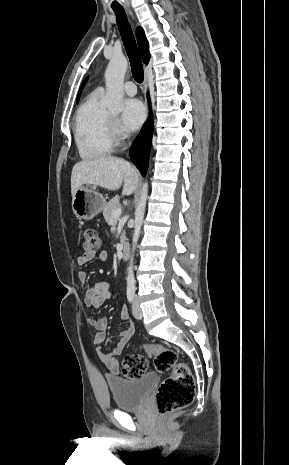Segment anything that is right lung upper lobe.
<instances>
[{"label": "right lung upper lobe", "instance_id": "1", "mask_svg": "<svg viewBox=\"0 0 289 465\" xmlns=\"http://www.w3.org/2000/svg\"><path fill=\"white\" fill-rule=\"evenodd\" d=\"M137 40H138V46H139V49H140L142 60H143L144 63L148 64L149 59H150V53H149V49H148V41H147V39L145 37L144 31L140 27L137 29ZM86 81H87V78L85 79V81L82 83V85L80 87L79 94H78V99L80 97L81 91H82Z\"/></svg>", "mask_w": 289, "mask_h": 465}]
</instances>
